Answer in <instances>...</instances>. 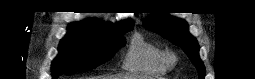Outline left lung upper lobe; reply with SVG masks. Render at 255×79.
<instances>
[{
	"label": "left lung upper lobe",
	"mask_w": 255,
	"mask_h": 79,
	"mask_svg": "<svg viewBox=\"0 0 255 79\" xmlns=\"http://www.w3.org/2000/svg\"><path fill=\"white\" fill-rule=\"evenodd\" d=\"M143 25L181 47L199 71V79H204L205 68L199 57V46L196 39L189 34L185 21L158 12L153 13Z\"/></svg>",
	"instance_id": "obj_1"
}]
</instances>
